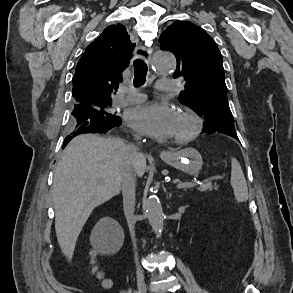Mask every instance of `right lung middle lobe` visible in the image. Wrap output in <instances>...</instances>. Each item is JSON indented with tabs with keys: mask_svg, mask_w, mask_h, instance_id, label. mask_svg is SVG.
Here are the masks:
<instances>
[{
	"mask_svg": "<svg viewBox=\"0 0 293 293\" xmlns=\"http://www.w3.org/2000/svg\"><path fill=\"white\" fill-rule=\"evenodd\" d=\"M95 103L97 104V107H95V108L92 107V108L97 109L101 112H104L105 114H108V113L114 114L110 110V105L112 103L111 100L101 99V100H96Z\"/></svg>",
	"mask_w": 293,
	"mask_h": 293,
	"instance_id": "right-lung-middle-lobe-1",
	"label": "right lung middle lobe"
}]
</instances>
